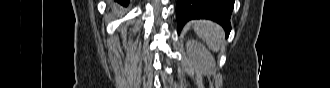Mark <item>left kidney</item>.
I'll return each instance as SVG.
<instances>
[{"mask_svg": "<svg viewBox=\"0 0 330 88\" xmlns=\"http://www.w3.org/2000/svg\"><path fill=\"white\" fill-rule=\"evenodd\" d=\"M189 60L195 70L208 74L215 67V60L206 47L196 40L190 39L186 43Z\"/></svg>", "mask_w": 330, "mask_h": 88, "instance_id": "obj_1", "label": "left kidney"}]
</instances>
